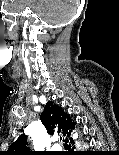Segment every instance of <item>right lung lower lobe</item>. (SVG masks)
Wrapping results in <instances>:
<instances>
[{
  "label": "right lung lower lobe",
  "instance_id": "right-lung-lower-lobe-1",
  "mask_svg": "<svg viewBox=\"0 0 119 155\" xmlns=\"http://www.w3.org/2000/svg\"><path fill=\"white\" fill-rule=\"evenodd\" d=\"M66 143H73V139L71 136H69L66 140H65ZM71 147V144H66L65 145V148L66 149H70ZM66 155H92V152L91 151H78V152H75L74 151H68V153H66Z\"/></svg>",
  "mask_w": 119,
  "mask_h": 155
}]
</instances>
